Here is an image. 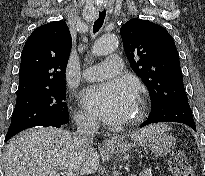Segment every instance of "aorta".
<instances>
[{"instance_id": "1", "label": "aorta", "mask_w": 205, "mask_h": 176, "mask_svg": "<svg viewBox=\"0 0 205 176\" xmlns=\"http://www.w3.org/2000/svg\"><path fill=\"white\" fill-rule=\"evenodd\" d=\"M118 47V39L109 35L97 40L92 48V53L97 56L114 52Z\"/></svg>"}]
</instances>
